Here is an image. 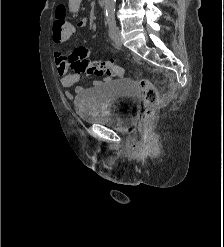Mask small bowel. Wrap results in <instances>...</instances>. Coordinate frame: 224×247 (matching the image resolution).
<instances>
[{"mask_svg": "<svg viewBox=\"0 0 224 247\" xmlns=\"http://www.w3.org/2000/svg\"><path fill=\"white\" fill-rule=\"evenodd\" d=\"M70 5L74 11H76L79 7L80 0H69ZM88 24V19L86 17H83L78 20L76 25L74 26L75 31L77 30H82L83 28L86 27ZM53 42L57 47L63 46L67 41L60 40L58 38L53 37ZM54 62L56 66L57 73L60 77V82L61 85L64 88H70L71 86L74 85L75 82L78 81L79 79V74L77 73H69V64H68V58L67 56L63 53L62 50L57 49L54 52ZM81 91L80 88H77L74 92L72 91H66L65 96L68 99H73L77 93Z\"/></svg>", "mask_w": 224, "mask_h": 247, "instance_id": "obj_1", "label": "small bowel"}]
</instances>
